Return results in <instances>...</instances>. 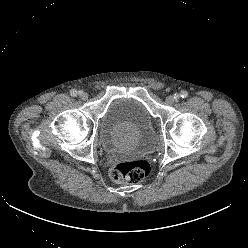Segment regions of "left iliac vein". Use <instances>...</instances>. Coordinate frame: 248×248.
Listing matches in <instances>:
<instances>
[{
    "mask_svg": "<svg viewBox=\"0 0 248 248\" xmlns=\"http://www.w3.org/2000/svg\"><path fill=\"white\" fill-rule=\"evenodd\" d=\"M166 102L169 104V105H171V104H173L174 102H175V97L174 96H168L167 98H166Z\"/></svg>",
    "mask_w": 248,
    "mask_h": 248,
    "instance_id": "obj_1",
    "label": "left iliac vein"
}]
</instances>
